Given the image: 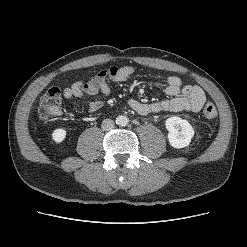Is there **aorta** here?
Masks as SVG:
<instances>
[{"mask_svg":"<svg viewBox=\"0 0 247 247\" xmlns=\"http://www.w3.org/2000/svg\"><path fill=\"white\" fill-rule=\"evenodd\" d=\"M128 117L120 115L116 118V123L121 126H126L128 124Z\"/></svg>","mask_w":247,"mask_h":247,"instance_id":"762f6f07","label":"aorta"}]
</instances>
